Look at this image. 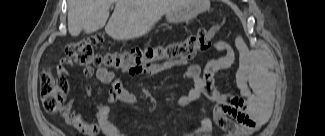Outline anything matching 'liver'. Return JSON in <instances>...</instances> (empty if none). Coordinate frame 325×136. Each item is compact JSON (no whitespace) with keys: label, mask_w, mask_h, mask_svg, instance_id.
Masks as SVG:
<instances>
[{"label":"liver","mask_w":325,"mask_h":136,"mask_svg":"<svg viewBox=\"0 0 325 136\" xmlns=\"http://www.w3.org/2000/svg\"><path fill=\"white\" fill-rule=\"evenodd\" d=\"M115 9L109 17V9ZM188 0H69L68 31L78 36L91 34L105 26L115 40H131L148 33L164 14L178 11Z\"/></svg>","instance_id":"6515ba94"}]
</instances>
